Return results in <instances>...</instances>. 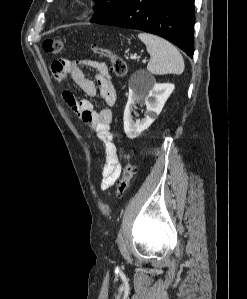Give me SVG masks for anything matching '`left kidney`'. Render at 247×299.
I'll use <instances>...</instances> for the list:
<instances>
[{"label": "left kidney", "mask_w": 247, "mask_h": 299, "mask_svg": "<svg viewBox=\"0 0 247 299\" xmlns=\"http://www.w3.org/2000/svg\"><path fill=\"white\" fill-rule=\"evenodd\" d=\"M174 88V84L171 83H155L146 92L136 88L129 89L128 102L123 117L124 132L128 138H136L154 122ZM136 104L146 105V115L142 120L134 122L131 111Z\"/></svg>", "instance_id": "left-kidney-1"}]
</instances>
